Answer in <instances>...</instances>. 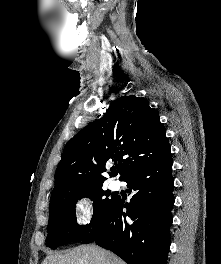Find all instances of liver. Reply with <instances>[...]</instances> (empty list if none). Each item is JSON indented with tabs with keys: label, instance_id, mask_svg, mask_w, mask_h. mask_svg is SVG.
<instances>
[{
	"label": "liver",
	"instance_id": "6515ba94",
	"mask_svg": "<svg viewBox=\"0 0 221 264\" xmlns=\"http://www.w3.org/2000/svg\"><path fill=\"white\" fill-rule=\"evenodd\" d=\"M42 264H125L113 253L95 245H82L67 253L48 255Z\"/></svg>",
	"mask_w": 221,
	"mask_h": 264
}]
</instances>
